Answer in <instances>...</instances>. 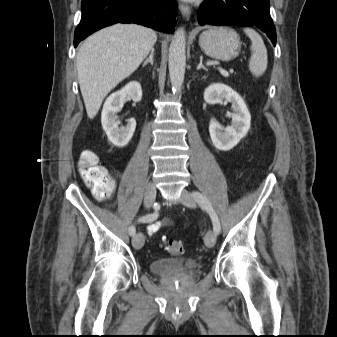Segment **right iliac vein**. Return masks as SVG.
I'll list each match as a JSON object with an SVG mask.
<instances>
[{"label":"right iliac vein","instance_id":"right-iliac-vein-1","mask_svg":"<svg viewBox=\"0 0 337 337\" xmlns=\"http://www.w3.org/2000/svg\"><path fill=\"white\" fill-rule=\"evenodd\" d=\"M155 198H156V188H155V185L153 183H149L146 186V189H145L144 206L146 208H150L154 204ZM132 245L136 249H140V248L143 247V245H144V236H143L142 233H137L136 235L133 236V238H132Z\"/></svg>","mask_w":337,"mask_h":337}]
</instances>
